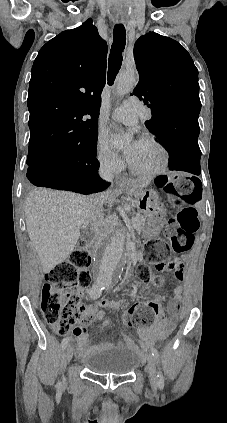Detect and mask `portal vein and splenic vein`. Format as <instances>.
<instances>
[{
    "label": "portal vein and splenic vein",
    "instance_id": "1",
    "mask_svg": "<svg viewBox=\"0 0 227 423\" xmlns=\"http://www.w3.org/2000/svg\"><path fill=\"white\" fill-rule=\"evenodd\" d=\"M133 223H137V217H132Z\"/></svg>",
    "mask_w": 227,
    "mask_h": 423
}]
</instances>
